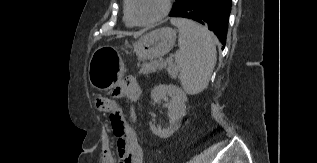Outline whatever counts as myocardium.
<instances>
[{"label":"myocardium","mask_w":317,"mask_h":163,"mask_svg":"<svg viewBox=\"0 0 317 163\" xmlns=\"http://www.w3.org/2000/svg\"><path fill=\"white\" fill-rule=\"evenodd\" d=\"M126 1H127V13H128L129 19L131 20V22L134 25H137V26H150V25H153V24L161 21L169 14V12L171 11V8H172V0H164L163 1V8H162V11L159 15H157L156 17H154L150 20L140 21V20L136 19L133 15L132 0H126Z\"/></svg>","instance_id":"obj_1"}]
</instances>
